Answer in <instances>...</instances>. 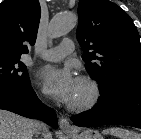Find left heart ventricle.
<instances>
[{"label": "left heart ventricle", "mask_w": 141, "mask_h": 139, "mask_svg": "<svg viewBox=\"0 0 141 139\" xmlns=\"http://www.w3.org/2000/svg\"><path fill=\"white\" fill-rule=\"evenodd\" d=\"M87 95H88V90L86 86L77 82L71 103L81 102L87 97Z\"/></svg>", "instance_id": "left-heart-ventricle-1"}]
</instances>
